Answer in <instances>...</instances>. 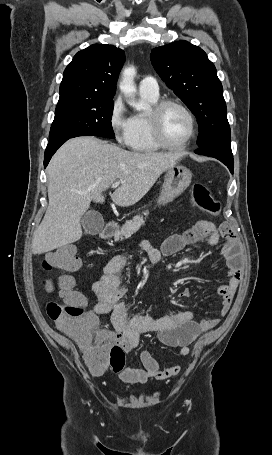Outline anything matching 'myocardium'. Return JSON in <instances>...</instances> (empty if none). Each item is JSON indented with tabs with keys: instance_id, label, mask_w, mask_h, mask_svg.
Instances as JSON below:
<instances>
[{
	"instance_id": "obj_1",
	"label": "myocardium",
	"mask_w": 272,
	"mask_h": 455,
	"mask_svg": "<svg viewBox=\"0 0 272 455\" xmlns=\"http://www.w3.org/2000/svg\"><path fill=\"white\" fill-rule=\"evenodd\" d=\"M170 106L180 108L187 115L190 122V133L186 140L180 144L168 143L162 132V116L164 111ZM148 121L154 142L163 149L172 151L183 150L191 144L197 134V122L195 115L187 105L176 99H162L155 103L148 113Z\"/></svg>"
}]
</instances>
